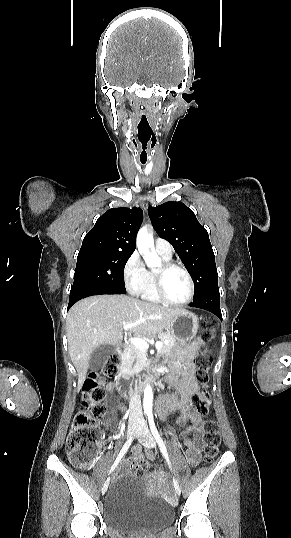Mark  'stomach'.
Instances as JSON below:
<instances>
[{
    "instance_id": "0dacf381",
    "label": "stomach",
    "mask_w": 291,
    "mask_h": 538,
    "mask_svg": "<svg viewBox=\"0 0 291 538\" xmlns=\"http://www.w3.org/2000/svg\"><path fill=\"white\" fill-rule=\"evenodd\" d=\"M198 330V318L189 311L177 314L169 325L170 333L179 343L191 341Z\"/></svg>"
}]
</instances>
